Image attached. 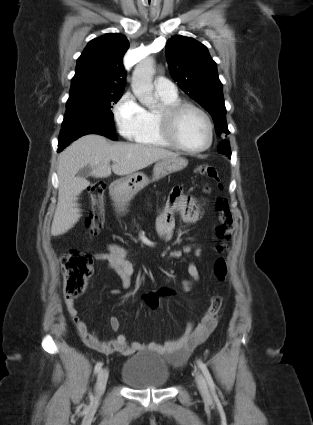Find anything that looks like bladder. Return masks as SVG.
<instances>
[{"mask_svg":"<svg viewBox=\"0 0 313 425\" xmlns=\"http://www.w3.org/2000/svg\"><path fill=\"white\" fill-rule=\"evenodd\" d=\"M120 378L132 389H158L170 382V371L162 356L144 352L124 361Z\"/></svg>","mask_w":313,"mask_h":425,"instance_id":"bladder-1","label":"bladder"}]
</instances>
